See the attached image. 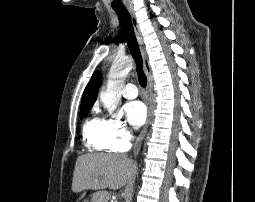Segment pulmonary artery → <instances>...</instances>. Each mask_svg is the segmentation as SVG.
Wrapping results in <instances>:
<instances>
[{
	"instance_id": "1",
	"label": "pulmonary artery",
	"mask_w": 255,
	"mask_h": 202,
	"mask_svg": "<svg viewBox=\"0 0 255 202\" xmlns=\"http://www.w3.org/2000/svg\"><path fill=\"white\" fill-rule=\"evenodd\" d=\"M122 94L125 98L134 99L138 96V90L135 84L128 83L125 85Z\"/></svg>"
}]
</instances>
